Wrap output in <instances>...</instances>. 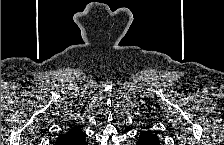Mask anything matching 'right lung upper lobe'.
Segmentation results:
<instances>
[{
	"label": "right lung upper lobe",
	"instance_id": "right-lung-upper-lobe-1",
	"mask_svg": "<svg viewBox=\"0 0 224 145\" xmlns=\"http://www.w3.org/2000/svg\"><path fill=\"white\" fill-rule=\"evenodd\" d=\"M85 138V134L78 127H72L65 134L60 135L56 140V145H77L76 143Z\"/></svg>",
	"mask_w": 224,
	"mask_h": 145
}]
</instances>
